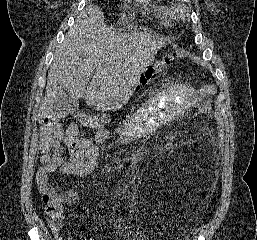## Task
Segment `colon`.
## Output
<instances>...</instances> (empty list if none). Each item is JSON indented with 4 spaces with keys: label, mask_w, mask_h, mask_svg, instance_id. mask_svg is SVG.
<instances>
[{
    "label": "colon",
    "mask_w": 257,
    "mask_h": 240,
    "mask_svg": "<svg viewBox=\"0 0 257 240\" xmlns=\"http://www.w3.org/2000/svg\"><path fill=\"white\" fill-rule=\"evenodd\" d=\"M172 59V56L168 55L149 66L140 76L139 84L142 85L154 81L158 75L172 62ZM214 93L215 87L213 85H205L202 89V95L205 98L211 97ZM42 203L49 218L57 222L61 215V202L59 199L54 195L44 194L42 195Z\"/></svg>",
    "instance_id": "1"
}]
</instances>
